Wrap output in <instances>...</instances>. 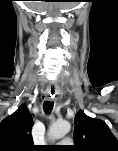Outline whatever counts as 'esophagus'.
Returning a JSON list of instances; mask_svg holds the SVG:
<instances>
[{"instance_id":"obj_1","label":"esophagus","mask_w":118,"mask_h":151,"mask_svg":"<svg viewBox=\"0 0 118 151\" xmlns=\"http://www.w3.org/2000/svg\"><path fill=\"white\" fill-rule=\"evenodd\" d=\"M58 93L57 87L49 86L47 88L46 96L48 99H52Z\"/></svg>"}]
</instances>
